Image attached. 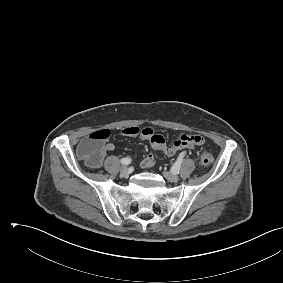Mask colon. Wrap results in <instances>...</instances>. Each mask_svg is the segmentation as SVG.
I'll return each instance as SVG.
<instances>
[{
  "instance_id": "1",
  "label": "colon",
  "mask_w": 283,
  "mask_h": 283,
  "mask_svg": "<svg viewBox=\"0 0 283 283\" xmlns=\"http://www.w3.org/2000/svg\"><path fill=\"white\" fill-rule=\"evenodd\" d=\"M109 137L108 130H98L84 138L78 145V155L89 166L98 167L102 161L104 142ZM200 163L209 166L213 162V156L209 149L202 148L200 152Z\"/></svg>"
}]
</instances>
